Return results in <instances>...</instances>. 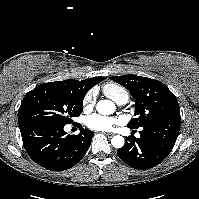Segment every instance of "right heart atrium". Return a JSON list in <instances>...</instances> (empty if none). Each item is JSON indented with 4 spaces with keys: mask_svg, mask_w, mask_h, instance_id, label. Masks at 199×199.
I'll use <instances>...</instances> for the list:
<instances>
[{
    "mask_svg": "<svg viewBox=\"0 0 199 199\" xmlns=\"http://www.w3.org/2000/svg\"><path fill=\"white\" fill-rule=\"evenodd\" d=\"M93 103V92H89L85 98H84V101H83V104L85 107L87 106H91Z\"/></svg>",
    "mask_w": 199,
    "mask_h": 199,
    "instance_id": "d8ad5b80",
    "label": "right heart atrium"
}]
</instances>
